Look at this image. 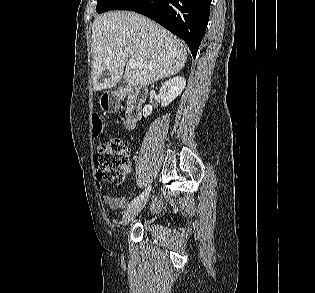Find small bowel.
I'll return each instance as SVG.
<instances>
[{
  "label": "small bowel",
  "mask_w": 315,
  "mask_h": 293,
  "mask_svg": "<svg viewBox=\"0 0 315 293\" xmlns=\"http://www.w3.org/2000/svg\"><path fill=\"white\" fill-rule=\"evenodd\" d=\"M128 170H129V166H128ZM96 188L99 191L102 190V183L99 180L96 181ZM100 200L102 201V203L108 205L112 209H122L127 205V202H128V199L125 196L115 197V196H111L105 193H102L100 195ZM161 206H162L161 203H157L155 205V208L160 209Z\"/></svg>",
  "instance_id": "1"
}]
</instances>
